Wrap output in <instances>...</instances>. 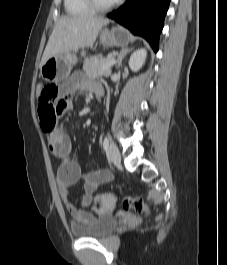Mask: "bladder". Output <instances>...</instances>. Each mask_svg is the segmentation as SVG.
<instances>
[{"label": "bladder", "instance_id": "obj_1", "mask_svg": "<svg viewBox=\"0 0 227 265\" xmlns=\"http://www.w3.org/2000/svg\"><path fill=\"white\" fill-rule=\"evenodd\" d=\"M116 225L112 216H103L90 223L74 224L71 233L74 237L84 239H100L108 235Z\"/></svg>", "mask_w": 227, "mask_h": 265}]
</instances>
